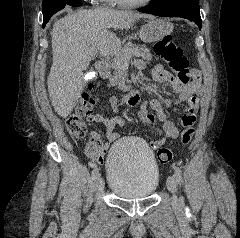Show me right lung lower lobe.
I'll return each mask as SVG.
<instances>
[{
  "label": "right lung lower lobe",
  "instance_id": "obj_1",
  "mask_svg": "<svg viewBox=\"0 0 240 238\" xmlns=\"http://www.w3.org/2000/svg\"><path fill=\"white\" fill-rule=\"evenodd\" d=\"M81 4H82V2H81V0H80V2L74 3V4H72L71 6H80Z\"/></svg>",
  "mask_w": 240,
  "mask_h": 238
}]
</instances>
